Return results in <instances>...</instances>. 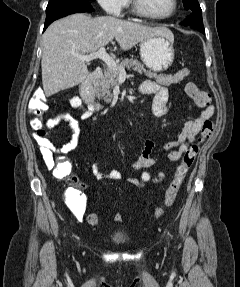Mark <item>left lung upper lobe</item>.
<instances>
[{
    "instance_id": "obj_1",
    "label": "left lung upper lobe",
    "mask_w": 240,
    "mask_h": 287,
    "mask_svg": "<svg viewBox=\"0 0 240 287\" xmlns=\"http://www.w3.org/2000/svg\"><path fill=\"white\" fill-rule=\"evenodd\" d=\"M183 4L186 9L193 10L200 8L198 0H183Z\"/></svg>"
}]
</instances>
